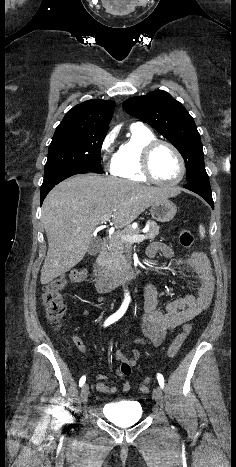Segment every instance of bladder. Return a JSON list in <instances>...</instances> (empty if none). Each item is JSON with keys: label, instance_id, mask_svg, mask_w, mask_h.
<instances>
[{"label": "bladder", "instance_id": "31cf9c89", "mask_svg": "<svg viewBox=\"0 0 236 467\" xmlns=\"http://www.w3.org/2000/svg\"><path fill=\"white\" fill-rule=\"evenodd\" d=\"M103 415L116 425H132L141 420L143 409L139 402L123 400L105 405Z\"/></svg>", "mask_w": 236, "mask_h": 467}]
</instances>
